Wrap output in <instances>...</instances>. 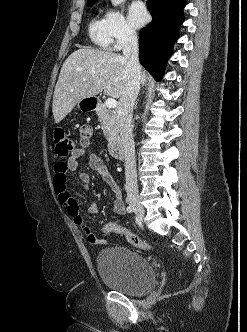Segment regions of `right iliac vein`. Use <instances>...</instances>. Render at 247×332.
<instances>
[{
  "label": "right iliac vein",
  "instance_id": "right-iliac-vein-1",
  "mask_svg": "<svg viewBox=\"0 0 247 332\" xmlns=\"http://www.w3.org/2000/svg\"><path fill=\"white\" fill-rule=\"evenodd\" d=\"M130 206L132 207L133 211L136 213V215L140 218L143 219L145 215V210L141 203L136 200V199H131L129 201Z\"/></svg>",
  "mask_w": 247,
  "mask_h": 332
}]
</instances>
